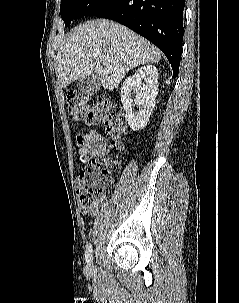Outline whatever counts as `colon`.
<instances>
[{
  "instance_id": "obj_1",
  "label": "colon",
  "mask_w": 239,
  "mask_h": 303,
  "mask_svg": "<svg viewBox=\"0 0 239 303\" xmlns=\"http://www.w3.org/2000/svg\"><path fill=\"white\" fill-rule=\"evenodd\" d=\"M66 100L73 119L89 124H104L112 147L121 149L127 121L120 107L102 98L91 100L73 90L67 93ZM115 163L113 158L99 157L89 161L80 171L78 193L83 205L98 206L105 201Z\"/></svg>"
}]
</instances>
